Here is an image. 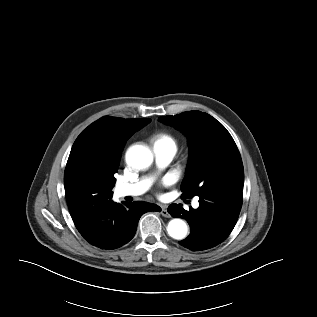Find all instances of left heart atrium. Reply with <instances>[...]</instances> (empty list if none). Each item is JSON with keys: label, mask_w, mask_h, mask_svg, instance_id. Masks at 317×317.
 I'll use <instances>...</instances> for the list:
<instances>
[{"label": "left heart atrium", "mask_w": 317, "mask_h": 317, "mask_svg": "<svg viewBox=\"0 0 317 317\" xmlns=\"http://www.w3.org/2000/svg\"><path fill=\"white\" fill-rule=\"evenodd\" d=\"M170 183H171V179H170V178H166V179L164 180V184L168 185V184H170Z\"/></svg>", "instance_id": "1"}]
</instances>
